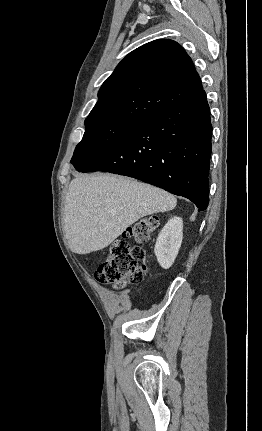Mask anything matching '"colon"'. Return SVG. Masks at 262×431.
Masks as SVG:
<instances>
[{
	"label": "colon",
	"mask_w": 262,
	"mask_h": 431,
	"mask_svg": "<svg viewBox=\"0 0 262 431\" xmlns=\"http://www.w3.org/2000/svg\"><path fill=\"white\" fill-rule=\"evenodd\" d=\"M158 226L159 218L149 216L127 229L123 238L113 243L100 262L94 273L96 281L119 289L140 283L148 272V265L146 253L138 243L149 241Z\"/></svg>",
	"instance_id": "1"
}]
</instances>
